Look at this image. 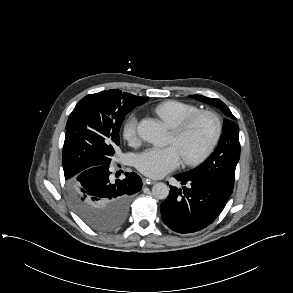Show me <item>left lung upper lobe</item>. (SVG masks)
I'll list each match as a JSON object with an SVG mask.
<instances>
[{
  "label": "left lung upper lobe",
  "mask_w": 293,
  "mask_h": 293,
  "mask_svg": "<svg viewBox=\"0 0 293 293\" xmlns=\"http://www.w3.org/2000/svg\"><path fill=\"white\" fill-rule=\"evenodd\" d=\"M191 98L219 108L226 116L223 132L216 150L198 167L185 172L202 178H210L230 187H234L235 169L240 157L239 127L229 108L219 99L201 95Z\"/></svg>",
  "instance_id": "left-lung-upper-lobe-1"
}]
</instances>
